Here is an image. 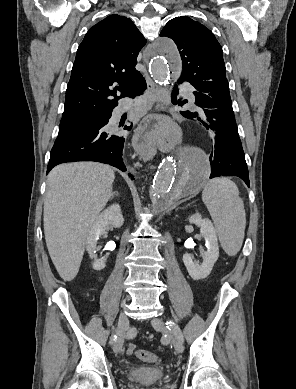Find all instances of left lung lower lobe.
<instances>
[{
  "label": "left lung lower lobe",
  "instance_id": "obj_1",
  "mask_svg": "<svg viewBox=\"0 0 296 389\" xmlns=\"http://www.w3.org/2000/svg\"><path fill=\"white\" fill-rule=\"evenodd\" d=\"M191 85L195 88V104L201 107L203 115L199 117L197 112L190 111H181V114L186 118H197L214 132L211 139L210 178L237 176L249 187L248 168L238 135L228 81H197ZM175 93H178V89H175ZM173 102L177 103L174 94ZM184 103L186 101H178L180 106Z\"/></svg>",
  "mask_w": 296,
  "mask_h": 389
}]
</instances>
